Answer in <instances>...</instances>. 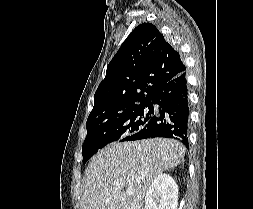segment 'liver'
<instances>
[{
	"label": "liver",
	"mask_w": 253,
	"mask_h": 209,
	"mask_svg": "<svg viewBox=\"0 0 253 209\" xmlns=\"http://www.w3.org/2000/svg\"><path fill=\"white\" fill-rule=\"evenodd\" d=\"M185 152L179 141L167 138L106 146L86 168L81 209H143L153 179L178 166ZM124 188H132L133 194L127 195Z\"/></svg>",
	"instance_id": "liver-1"
}]
</instances>
